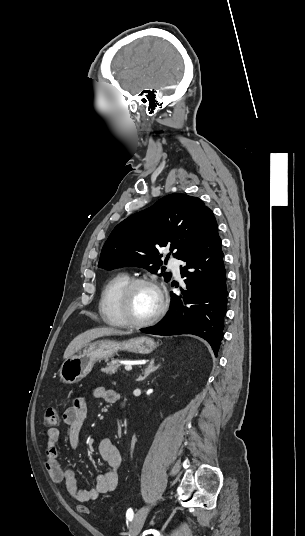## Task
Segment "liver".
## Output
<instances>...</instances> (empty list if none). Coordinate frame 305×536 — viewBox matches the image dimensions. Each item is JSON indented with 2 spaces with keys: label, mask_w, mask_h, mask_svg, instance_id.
I'll return each mask as SVG.
<instances>
[{
  "label": "liver",
  "mask_w": 305,
  "mask_h": 536,
  "mask_svg": "<svg viewBox=\"0 0 305 536\" xmlns=\"http://www.w3.org/2000/svg\"><path fill=\"white\" fill-rule=\"evenodd\" d=\"M123 336V334H132V332H122V330H114V328H94V330H88V332H84V334H80V336H76L72 342H70L68 348H66L64 352V360H67V358H70V356H73L75 352H78L80 348H83V346H86L88 342H91V340H95V338H102V336Z\"/></svg>",
  "instance_id": "obj_1"
}]
</instances>
